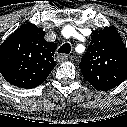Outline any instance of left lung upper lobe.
<instances>
[{
    "label": "left lung upper lobe",
    "instance_id": "5c2ea615",
    "mask_svg": "<svg viewBox=\"0 0 127 127\" xmlns=\"http://www.w3.org/2000/svg\"><path fill=\"white\" fill-rule=\"evenodd\" d=\"M79 68L95 88L111 89L127 78V49L113 27L94 31Z\"/></svg>",
    "mask_w": 127,
    "mask_h": 127
}]
</instances>
